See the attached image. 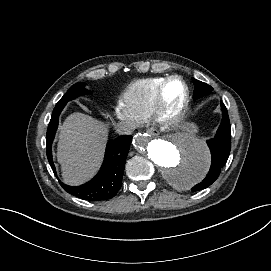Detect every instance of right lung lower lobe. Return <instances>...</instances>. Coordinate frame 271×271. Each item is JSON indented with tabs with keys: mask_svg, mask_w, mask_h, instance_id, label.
<instances>
[{
	"mask_svg": "<svg viewBox=\"0 0 271 271\" xmlns=\"http://www.w3.org/2000/svg\"><path fill=\"white\" fill-rule=\"evenodd\" d=\"M65 105H59L54 108L46 134L47 158L55 175L56 169L52 161L51 146L58 127L59 115ZM131 140V135H124L107 143L103 165L99 173L91 181L77 187L68 186L59 181L60 185L68 193L88 201L111 199L121 188Z\"/></svg>",
	"mask_w": 271,
	"mask_h": 271,
	"instance_id": "98d812e1",
	"label": "right lung lower lobe"
}]
</instances>
